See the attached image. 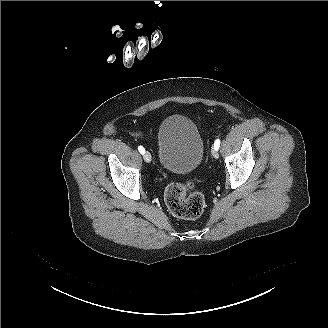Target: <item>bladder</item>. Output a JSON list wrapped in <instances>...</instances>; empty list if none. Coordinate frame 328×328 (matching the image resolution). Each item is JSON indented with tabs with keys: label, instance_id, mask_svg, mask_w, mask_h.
Segmentation results:
<instances>
[{
	"label": "bladder",
	"instance_id": "obj_1",
	"mask_svg": "<svg viewBox=\"0 0 328 328\" xmlns=\"http://www.w3.org/2000/svg\"><path fill=\"white\" fill-rule=\"evenodd\" d=\"M159 161L169 171L186 174L194 171L204 155L197 124L183 115L166 117L158 129Z\"/></svg>",
	"mask_w": 328,
	"mask_h": 328
}]
</instances>
